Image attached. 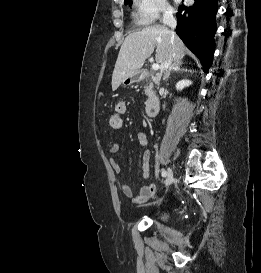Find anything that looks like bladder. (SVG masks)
<instances>
[{
    "instance_id": "bladder-1",
    "label": "bladder",
    "mask_w": 261,
    "mask_h": 273,
    "mask_svg": "<svg viewBox=\"0 0 261 273\" xmlns=\"http://www.w3.org/2000/svg\"><path fill=\"white\" fill-rule=\"evenodd\" d=\"M158 219H159V220H164V219H166V214H165V213H160V214L158 215Z\"/></svg>"
}]
</instances>
